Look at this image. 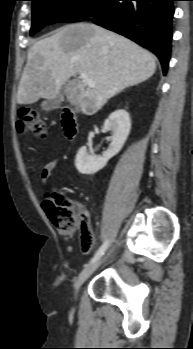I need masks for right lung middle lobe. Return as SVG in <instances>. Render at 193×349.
Listing matches in <instances>:
<instances>
[{
  "instance_id": "obj_1",
  "label": "right lung middle lobe",
  "mask_w": 193,
  "mask_h": 349,
  "mask_svg": "<svg viewBox=\"0 0 193 349\" xmlns=\"http://www.w3.org/2000/svg\"><path fill=\"white\" fill-rule=\"evenodd\" d=\"M32 28L30 35L56 22L83 20L101 0H31Z\"/></svg>"
}]
</instances>
